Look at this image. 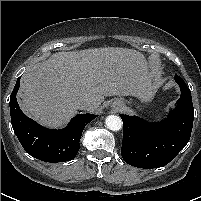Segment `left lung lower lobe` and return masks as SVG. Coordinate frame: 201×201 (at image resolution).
Returning <instances> with one entry per match:
<instances>
[{
	"label": "left lung lower lobe",
	"mask_w": 201,
	"mask_h": 201,
	"mask_svg": "<svg viewBox=\"0 0 201 201\" xmlns=\"http://www.w3.org/2000/svg\"><path fill=\"white\" fill-rule=\"evenodd\" d=\"M181 89L177 106L168 117L149 123L136 116L120 114L123 121L121 154L126 163L143 169L167 165L188 143L194 119V108L189 88L175 75Z\"/></svg>",
	"instance_id": "obj_1"
}]
</instances>
